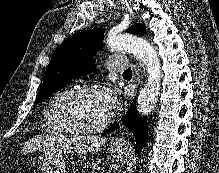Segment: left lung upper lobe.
<instances>
[{
  "instance_id": "obj_1",
  "label": "left lung upper lobe",
  "mask_w": 219,
  "mask_h": 173,
  "mask_svg": "<svg viewBox=\"0 0 219 173\" xmlns=\"http://www.w3.org/2000/svg\"><path fill=\"white\" fill-rule=\"evenodd\" d=\"M128 32L143 35L145 27L134 24ZM103 38L104 29L100 28L77 33L62 43L52 55L34 104L42 102L70 80L91 73L95 68L93 55L101 50Z\"/></svg>"
}]
</instances>
